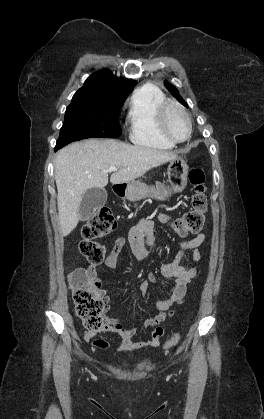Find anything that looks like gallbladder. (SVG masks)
I'll return each mask as SVG.
<instances>
[{"mask_svg": "<svg viewBox=\"0 0 264 419\" xmlns=\"http://www.w3.org/2000/svg\"><path fill=\"white\" fill-rule=\"evenodd\" d=\"M107 201V191L104 188L88 189L82 196L79 205V215L82 221L88 220L94 212L104 206Z\"/></svg>", "mask_w": 264, "mask_h": 419, "instance_id": "gallbladder-1", "label": "gallbladder"}]
</instances>
